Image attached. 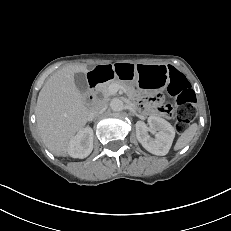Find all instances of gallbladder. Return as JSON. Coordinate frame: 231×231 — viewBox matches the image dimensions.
<instances>
[{
    "label": "gallbladder",
    "instance_id": "bac80fb5",
    "mask_svg": "<svg viewBox=\"0 0 231 231\" xmlns=\"http://www.w3.org/2000/svg\"><path fill=\"white\" fill-rule=\"evenodd\" d=\"M74 82H75V85L79 91H81V92L87 91L88 84H87V80H86L84 73H81V72L76 73L74 75Z\"/></svg>",
    "mask_w": 231,
    "mask_h": 231
}]
</instances>
